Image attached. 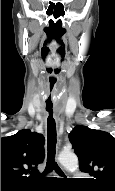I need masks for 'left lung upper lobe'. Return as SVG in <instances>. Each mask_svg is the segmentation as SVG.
I'll return each instance as SVG.
<instances>
[{
	"label": "left lung upper lobe",
	"mask_w": 115,
	"mask_h": 191,
	"mask_svg": "<svg viewBox=\"0 0 115 191\" xmlns=\"http://www.w3.org/2000/svg\"><path fill=\"white\" fill-rule=\"evenodd\" d=\"M69 138L80 170L93 177L84 182L100 191H115V138L83 125L76 126Z\"/></svg>",
	"instance_id": "left-lung-upper-lobe-1"
}]
</instances>
